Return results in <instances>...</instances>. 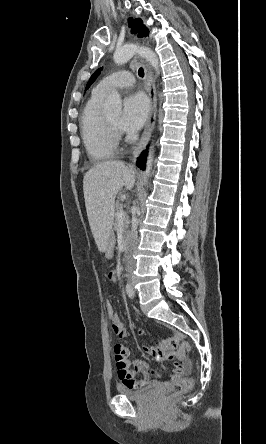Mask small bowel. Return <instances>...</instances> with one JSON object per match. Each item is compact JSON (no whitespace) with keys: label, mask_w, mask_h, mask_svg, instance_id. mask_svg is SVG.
Listing matches in <instances>:
<instances>
[{"label":"small bowel","mask_w":266,"mask_h":444,"mask_svg":"<svg viewBox=\"0 0 266 444\" xmlns=\"http://www.w3.org/2000/svg\"><path fill=\"white\" fill-rule=\"evenodd\" d=\"M108 277L110 281H115L116 274L111 272ZM111 326L113 333L117 337L125 338L127 336V330L124 327L119 315L111 319ZM179 339L180 336L176 334L173 337L163 340L157 347L144 345L143 351L144 353L151 355L158 360H172L174 357L173 347L176 345ZM114 354L118 368V376L122 386L130 389H138L147 385L159 383L158 379H152V375L154 377H158V374L156 372L150 373L149 366L145 361L138 360L133 363V368H130V363L126 358V349L124 346L116 345L114 347ZM189 369L190 367L188 362H185L183 365L175 363L170 379L165 383L168 384L176 381L183 373L188 372ZM137 373H141L142 377L136 379L135 375Z\"/></svg>","instance_id":"1"}]
</instances>
